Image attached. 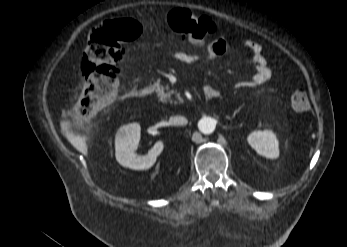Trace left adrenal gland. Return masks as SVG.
<instances>
[{"label":"left adrenal gland","mask_w":347,"mask_h":247,"mask_svg":"<svg viewBox=\"0 0 347 247\" xmlns=\"http://www.w3.org/2000/svg\"><path fill=\"white\" fill-rule=\"evenodd\" d=\"M236 113H237V112L234 113L233 118L235 117Z\"/></svg>","instance_id":"obj_1"}]
</instances>
